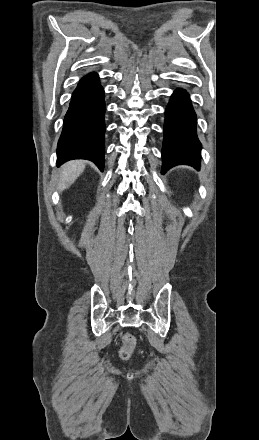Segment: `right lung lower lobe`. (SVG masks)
<instances>
[{"mask_svg": "<svg viewBox=\"0 0 259 440\" xmlns=\"http://www.w3.org/2000/svg\"><path fill=\"white\" fill-rule=\"evenodd\" d=\"M104 90L98 75L82 78L74 90L57 146V166L72 159H87L104 168Z\"/></svg>", "mask_w": 259, "mask_h": 440, "instance_id": "obj_1", "label": "right lung lower lobe"}]
</instances>
